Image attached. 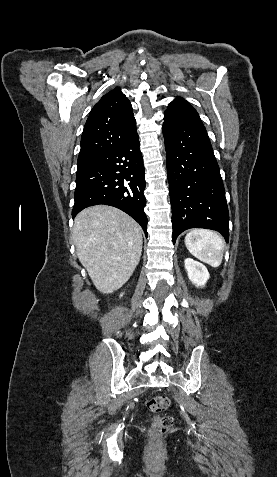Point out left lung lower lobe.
I'll use <instances>...</instances> for the list:
<instances>
[{"label":"left lung lower lobe","mask_w":277,"mask_h":477,"mask_svg":"<svg viewBox=\"0 0 277 477\" xmlns=\"http://www.w3.org/2000/svg\"><path fill=\"white\" fill-rule=\"evenodd\" d=\"M172 206L173 243L189 228H207L229 240L225 190L204 125L163 123Z\"/></svg>","instance_id":"1"}]
</instances>
